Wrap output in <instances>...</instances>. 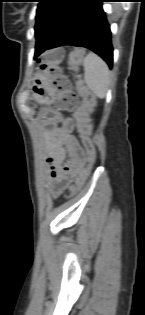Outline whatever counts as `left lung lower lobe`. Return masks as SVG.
Masks as SVG:
<instances>
[{"label":"left lung lower lobe","instance_id":"0a47b994","mask_svg":"<svg viewBox=\"0 0 145 315\" xmlns=\"http://www.w3.org/2000/svg\"><path fill=\"white\" fill-rule=\"evenodd\" d=\"M105 0H72L44 38L36 43L37 58L47 49L62 45L85 47L113 63L110 25L102 9Z\"/></svg>","mask_w":145,"mask_h":315}]
</instances>
